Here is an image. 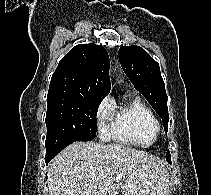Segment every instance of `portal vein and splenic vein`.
Masks as SVG:
<instances>
[{
    "mask_svg": "<svg viewBox=\"0 0 211 195\" xmlns=\"http://www.w3.org/2000/svg\"><path fill=\"white\" fill-rule=\"evenodd\" d=\"M116 181H117V182L120 181V177H119V176H117Z\"/></svg>",
    "mask_w": 211,
    "mask_h": 195,
    "instance_id": "18ae733b",
    "label": "portal vein and splenic vein"
}]
</instances>
